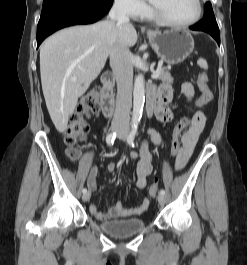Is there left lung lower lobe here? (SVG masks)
Wrapping results in <instances>:
<instances>
[{"mask_svg":"<svg viewBox=\"0 0 247 265\" xmlns=\"http://www.w3.org/2000/svg\"><path fill=\"white\" fill-rule=\"evenodd\" d=\"M190 29L209 33L220 45V33L210 2L205 5L204 18Z\"/></svg>","mask_w":247,"mask_h":265,"instance_id":"obj_1","label":"left lung lower lobe"}]
</instances>
